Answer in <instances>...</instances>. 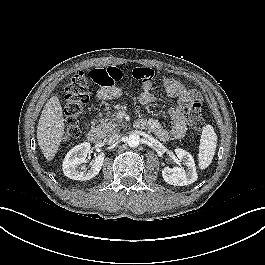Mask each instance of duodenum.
I'll use <instances>...</instances> for the list:
<instances>
[{
    "instance_id": "duodenum-1",
    "label": "duodenum",
    "mask_w": 265,
    "mask_h": 265,
    "mask_svg": "<svg viewBox=\"0 0 265 265\" xmlns=\"http://www.w3.org/2000/svg\"><path fill=\"white\" fill-rule=\"evenodd\" d=\"M87 139L91 143H97L100 140V132L97 128H92L87 133Z\"/></svg>"
}]
</instances>
